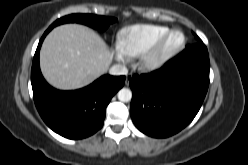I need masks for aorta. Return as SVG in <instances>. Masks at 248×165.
Returning a JSON list of instances; mask_svg holds the SVG:
<instances>
[{
    "label": "aorta",
    "instance_id": "aorta-1",
    "mask_svg": "<svg viewBox=\"0 0 248 165\" xmlns=\"http://www.w3.org/2000/svg\"><path fill=\"white\" fill-rule=\"evenodd\" d=\"M118 99L121 101V102H129L132 98V92L130 89L128 88H122L118 94Z\"/></svg>",
    "mask_w": 248,
    "mask_h": 165
}]
</instances>
